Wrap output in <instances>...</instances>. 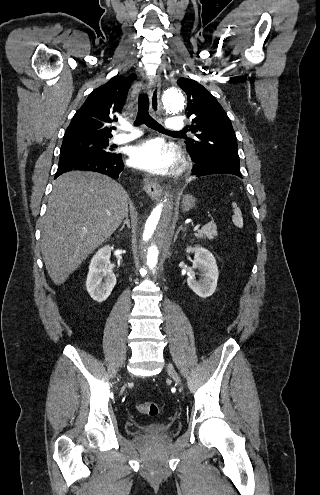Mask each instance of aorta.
<instances>
[{"instance_id": "aorta-1", "label": "aorta", "mask_w": 320, "mask_h": 495, "mask_svg": "<svg viewBox=\"0 0 320 495\" xmlns=\"http://www.w3.org/2000/svg\"><path fill=\"white\" fill-rule=\"evenodd\" d=\"M167 112L177 113L184 105V97L179 89H168L162 96ZM173 226V206L170 199L160 202L146 219L141 232V251L151 270H155L161 245L169 240Z\"/></svg>"}]
</instances>
